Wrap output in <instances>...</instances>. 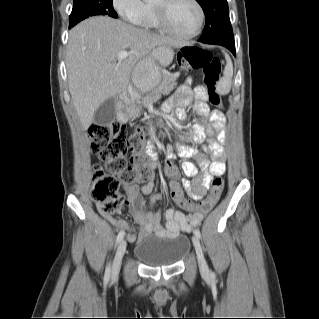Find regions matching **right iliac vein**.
<instances>
[{
	"label": "right iliac vein",
	"instance_id": "obj_1",
	"mask_svg": "<svg viewBox=\"0 0 319 319\" xmlns=\"http://www.w3.org/2000/svg\"><path fill=\"white\" fill-rule=\"evenodd\" d=\"M126 248H127V243L125 240H122L120 242V244L118 245V248L116 250L115 257L113 260V264H112V276L113 277L117 276L119 273L122 258L126 252Z\"/></svg>",
	"mask_w": 319,
	"mask_h": 319
}]
</instances>
